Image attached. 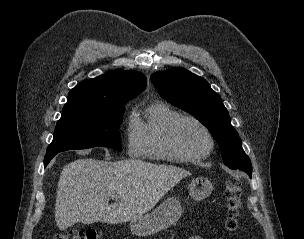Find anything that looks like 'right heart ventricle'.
Returning <instances> with one entry per match:
<instances>
[{
    "mask_svg": "<svg viewBox=\"0 0 304 239\" xmlns=\"http://www.w3.org/2000/svg\"><path fill=\"white\" fill-rule=\"evenodd\" d=\"M181 114L163 102L151 103L136 123L141 137L140 156L157 161L179 160L167 147L166 131Z\"/></svg>",
    "mask_w": 304,
    "mask_h": 239,
    "instance_id": "e07e8e85",
    "label": "right heart ventricle"
}]
</instances>
